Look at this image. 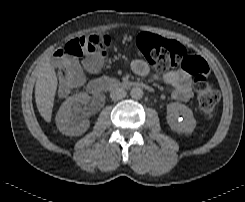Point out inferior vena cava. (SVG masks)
<instances>
[{"instance_id":"1","label":"inferior vena cava","mask_w":245,"mask_h":202,"mask_svg":"<svg viewBox=\"0 0 245 202\" xmlns=\"http://www.w3.org/2000/svg\"><path fill=\"white\" fill-rule=\"evenodd\" d=\"M126 91L123 88L116 87L111 90L110 97L112 100H120L126 96Z\"/></svg>"}]
</instances>
